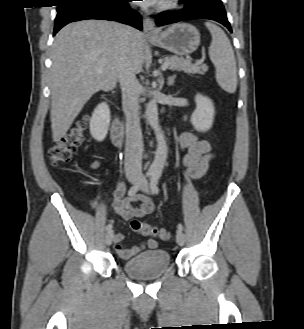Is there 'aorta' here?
<instances>
[{
    "instance_id": "1",
    "label": "aorta",
    "mask_w": 304,
    "mask_h": 329,
    "mask_svg": "<svg viewBox=\"0 0 304 329\" xmlns=\"http://www.w3.org/2000/svg\"><path fill=\"white\" fill-rule=\"evenodd\" d=\"M145 115L148 123L154 130L158 143V148L150 170L153 172H160L163 169L167 158V144L159 125L158 107L154 99L147 104Z\"/></svg>"
}]
</instances>
